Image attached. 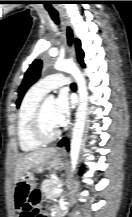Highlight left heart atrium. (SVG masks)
<instances>
[{"instance_id": "obj_1", "label": "left heart atrium", "mask_w": 132, "mask_h": 217, "mask_svg": "<svg viewBox=\"0 0 132 217\" xmlns=\"http://www.w3.org/2000/svg\"><path fill=\"white\" fill-rule=\"evenodd\" d=\"M72 107V101L68 94L61 92L54 101L53 120L57 127L62 126L67 121Z\"/></svg>"}]
</instances>
